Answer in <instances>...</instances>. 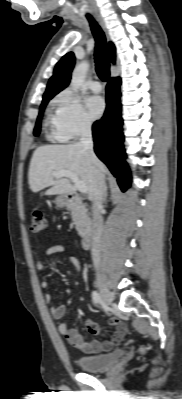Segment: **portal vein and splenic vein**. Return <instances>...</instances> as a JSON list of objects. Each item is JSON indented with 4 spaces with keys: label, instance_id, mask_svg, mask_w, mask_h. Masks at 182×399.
Returning a JSON list of instances; mask_svg holds the SVG:
<instances>
[{
    "label": "portal vein and splenic vein",
    "instance_id": "1",
    "mask_svg": "<svg viewBox=\"0 0 182 399\" xmlns=\"http://www.w3.org/2000/svg\"><path fill=\"white\" fill-rule=\"evenodd\" d=\"M53 176L55 178H61V177H67L69 179H71V181L74 183L76 189H78V191H80L81 193H86L87 192V187L85 185V183L83 181H81L78 176L71 172V171H67V170H62V171H58L53 173Z\"/></svg>",
    "mask_w": 182,
    "mask_h": 399
}]
</instances>
